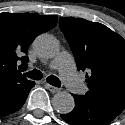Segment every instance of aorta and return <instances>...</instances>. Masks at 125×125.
<instances>
[{
    "label": "aorta",
    "instance_id": "762f6f07",
    "mask_svg": "<svg viewBox=\"0 0 125 125\" xmlns=\"http://www.w3.org/2000/svg\"><path fill=\"white\" fill-rule=\"evenodd\" d=\"M33 46L42 58H53L59 51L58 41L49 34L39 35L34 40ZM52 105L58 113L67 114L73 110L75 102L70 93L61 91L53 96Z\"/></svg>",
    "mask_w": 125,
    "mask_h": 125
}]
</instances>
